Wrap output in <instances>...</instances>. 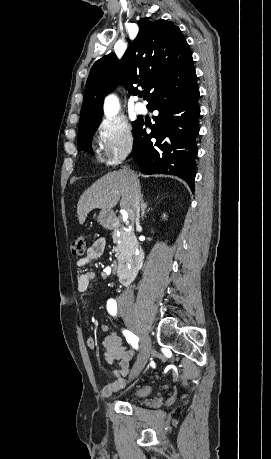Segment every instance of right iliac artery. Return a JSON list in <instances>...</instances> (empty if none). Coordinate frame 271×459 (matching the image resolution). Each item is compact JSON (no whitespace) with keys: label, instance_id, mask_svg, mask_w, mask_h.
<instances>
[{"label":"right iliac artery","instance_id":"right-iliac-artery-1","mask_svg":"<svg viewBox=\"0 0 271 459\" xmlns=\"http://www.w3.org/2000/svg\"><path fill=\"white\" fill-rule=\"evenodd\" d=\"M107 310L108 312L115 316L117 312V303L114 299H109L107 301ZM123 334L126 337V340L131 346L135 349H138L139 338L128 330H123Z\"/></svg>","mask_w":271,"mask_h":459}]
</instances>
